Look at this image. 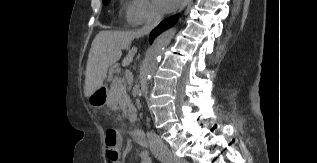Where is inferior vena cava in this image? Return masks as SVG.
<instances>
[{"instance_id": "obj_1", "label": "inferior vena cava", "mask_w": 317, "mask_h": 163, "mask_svg": "<svg viewBox=\"0 0 317 163\" xmlns=\"http://www.w3.org/2000/svg\"><path fill=\"white\" fill-rule=\"evenodd\" d=\"M162 15L159 12L152 11L149 13L146 24L137 31L138 35L143 36L149 34L161 21ZM148 143L151 152L158 158L163 159L169 155L167 146L161 138L155 133H147Z\"/></svg>"}]
</instances>
